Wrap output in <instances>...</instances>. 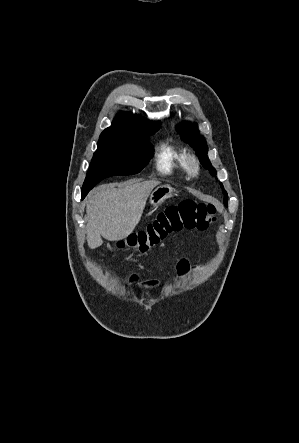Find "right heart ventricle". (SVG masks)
Returning a JSON list of instances; mask_svg holds the SVG:
<instances>
[{"label": "right heart ventricle", "mask_w": 299, "mask_h": 443, "mask_svg": "<svg viewBox=\"0 0 299 443\" xmlns=\"http://www.w3.org/2000/svg\"><path fill=\"white\" fill-rule=\"evenodd\" d=\"M187 154L185 150L166 140L161 142L155 160L158 172L166 175L177 171L185 172Z\"/></svg>", "instance_id": "right-heart-ventricle-1"}]
</instances>
